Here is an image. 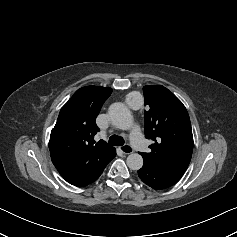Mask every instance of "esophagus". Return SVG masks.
<instances>
[{"label":"esophagus","mask_w":237,"mask_h":237,"mask_svg":"<svg viewBox=\"0 0 237 237\" xmlns=\"http://www.w3.org/2000/svg\"><path fill=\"white\" fill-rule=\"evenodd\" d=\"M119 149L121 150L122 153L126 155L133 153V149L129 145H123Z\"/></svg>","instance_id":"34e87169"}]
</instances>
